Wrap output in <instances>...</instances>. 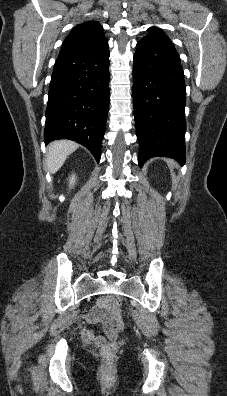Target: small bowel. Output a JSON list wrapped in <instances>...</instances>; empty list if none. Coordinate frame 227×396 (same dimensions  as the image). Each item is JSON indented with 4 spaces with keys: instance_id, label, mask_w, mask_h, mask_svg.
I'll return each instance as SVG.
<instances>
[{
    "instance_id": "small-bowel-1",
    "label": "small bowel",
    "mask_w": 227,
    "mask_h": 396,
    "mask_svg": "<svg viewBox=\"0 0 227 396\" xmlns=\"http://www.w3.org/2000/svg\"><path fill=\"white\" fill-rule=\"evenodd\" d=\"M111 299L108 296L102 297L98 300L97 305L88 313V320L91 323H100L103 325L105 335L114 340L118 333L123 329V323L119 315L110 314ZM82 339L85 342L93 343L96 346H102L105 343V336L102 334H95L93 330L85 328L81 333Z\"/></svg>"
}]
</instances>
